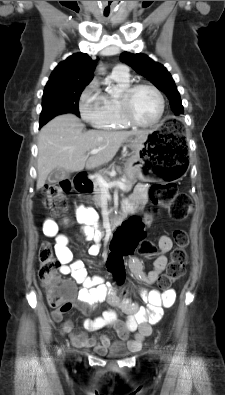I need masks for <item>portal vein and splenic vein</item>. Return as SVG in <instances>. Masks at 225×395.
I'll return each mask as SVG.
<instances>
[{
	"label": "portal vein and splenic vein",
	"mask_w": 225,
	"mask_h": 395,
	"mask_svg": "<svg viewBox=\"0 0 225 395\" xmlns=\"http://www.w3.org/2000/svg\"><path fill=\"white\" fill-rule=\"evenodd\" d=\"M101 150H102L101 148L93 149L90 151L89 154H97ZM96 180H97L99 186L101 187V189L104 191H107L109 188H112V187H118L122 190H124L126 188V185L123 182H120L118 180L113 181V182H107L101 175H97Z\"/></svg>",
	"instance_id": "portal-vein-and-splenic-vein-1"
}]
</instances>
